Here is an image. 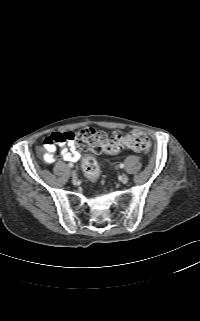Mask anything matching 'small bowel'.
<instances>
[{
    "mask_svg": "<svg viewBox=\"0 0 200 321\" xmlns=\"http://www.w3.org/2000/svg\"><path fill=\"white\" fill-rule=\"evenodd\" d=\"M122 131H115L113 136L122 135ZM60 149V157L65 161L76 162L80 158V148L72 132H55L45 139L44 145L41 148V153L44 161L52 164L57 160V149Z\"/></svg>",
    "mask_w": 200,
    "mask_h": 321,
    "instance_id": "1",
    "label": "small bowel"
}]
</instances>
